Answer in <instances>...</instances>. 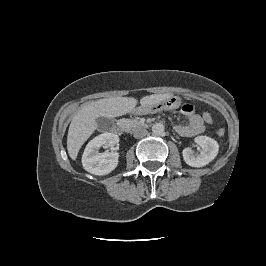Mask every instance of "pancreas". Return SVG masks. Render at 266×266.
Listing matches in <instances>:
<instances>
[{
    "label": "pancreas",
    "mask_w": 266,
    "mask_h": 266,
    "mask_svg": "<svg viewBox=\"0 0 266 266\" xmlns=\"http://www.w3.org/2000/svg\"><path fill=\"white\" fill-rule=\"evenodd\" d=\"M129 122L131 123V126H132L133 128H135V127L139 124L138 120H136V119H134V120H130Z\"/></svg>",
    "instance_id": "cf45deb5"
}]
</instances>
